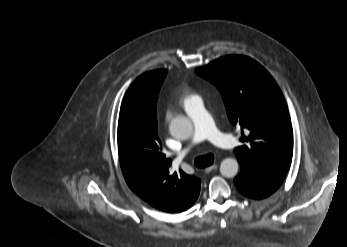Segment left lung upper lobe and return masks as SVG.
Instances as JSON below:
<instances>
[{
	"mask_svg": "<svg viewBox=\"0 0 347 247\" xmlns=\"http://www.w3.org/2000/svg\"><path fill=\"white\" fill-rule=\"evenodd\" d=\"M196 73L219 89L228 118L241 127L245 143L235 148L238 161L253 169H289L293 131L285 99L272 76L255 60L230 55Z\"/></svg>",
	"mask_w": 347,
	"mask_h": 247,
	"instance_id": "left-lung-upper-lobe-1",
	"label": "left lung upper lobe"
}]
</instances>
